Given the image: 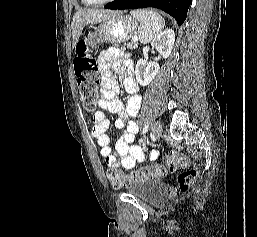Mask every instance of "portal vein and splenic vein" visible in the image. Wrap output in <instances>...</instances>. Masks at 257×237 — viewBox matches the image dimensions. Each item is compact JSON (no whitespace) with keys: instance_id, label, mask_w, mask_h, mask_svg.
Returning a JSON list of instances; mask_svg holds the SVG:
<instances>
[{"instance_id":"18ae733b","label":"portal vein and splenic vein","mask_w":257,"mask_h":237,"mask_svg":"<svg viewBox=\"0 0 257 237\" xmlns=\"http://www.w3.org/2000/svg\"><path fill=\"white\" fill-rule=\"evenodd\" d=\"M132 41L137 42V41H138V38H137V37H134V38H132Z\"/></svg>"}]
</instances>
